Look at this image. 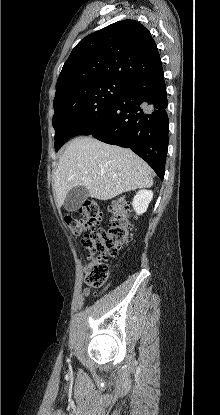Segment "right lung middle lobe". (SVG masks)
Instances as JSON below:
<instances>
[{"mask_svg": "<svg viewBox=\"0 0 220 415\" xmlns=\"http://www.w3.org/2000/svg\"><path fill=\"white\" fill-rule=\"evenodd\" d=\"M128 83L119 80L83 82L72 85L54 98L55 150L71 137L91 135L104 124Z\"/></svg>", "mask_w": 220, "mask_h": 415, "instance_id": "right-lung-middle-lobe-1", "label": "right lung middle lobe"}]
</instances>
